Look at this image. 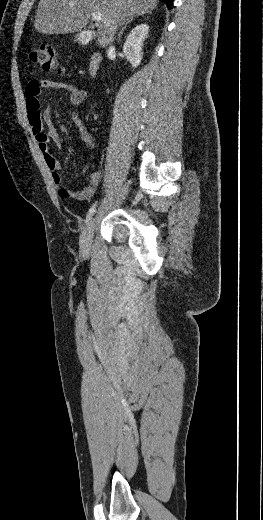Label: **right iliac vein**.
Here are the masks:
<instances>
[{
	"label": "right iliac vein",
	"mask_w": 263,
	"mask_h": 520,
	"mask_svg": "<svg viewBox=\"0 0 263 520\" xmlns=\"http://www.w3.org/2000/svg\"><path fill=\"white\" fill-rule=\"evenodd\" d=\"M93 230H94V219L88 223L85 231L83 232L80 238V253L83 256H87L91 249V243L93 238Z\"/></svg>",
	"instance_id": "right-iliac-vein-1"
}]
</instances>
